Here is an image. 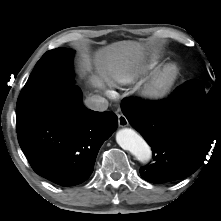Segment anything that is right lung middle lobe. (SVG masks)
<instances>
[{
	"instance_id": "dd1d6c3e",
	"label": "right lung middle lobe",
	"mask_w": 221,
	"mask_h": 221,
	"mask_svg": "<svg viewBox=\"0 0 221 221\" xmlns=\"http://www.w3.org/2000/svg\"><path fill=\"white\" fill-rule=\"evenodd\" d=\"M73 54L74 51L71 49L57 48L46 52L38 61L17 101V128L37 119L59 93L72 85ZM35 78L42 80L38 86L31 85Z\"/></svg>"
}]
</instances>
